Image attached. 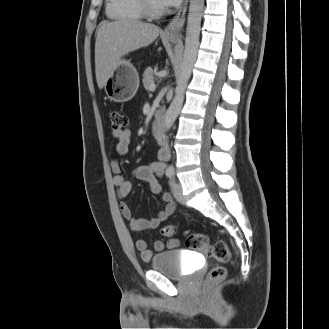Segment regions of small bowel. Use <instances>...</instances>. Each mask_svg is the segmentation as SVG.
I'll return each instance as SVG.
<instances>
[{
  "instance_id": "c3829d8e",
  "label": "small bowel",
  "mask_w": 329,
  "mask_h": 329,
  "mask_svg": "<svg viewBox=\"0 0 329 329\" xmlns=\"http://www.w3.org/2000/svg\"><path fill=\"white\" fill-rule=\"evenodd\" d=\"M116 142L115 148L119 155H124L128 152L131 144V133L129 130H124L120 135H112ZM165 164L161 161H155L146 165H138L132 170V176L138 180L145 181L149 184L150 190L154 194H161V198L165 203V207L155 217L151 219H137L133 216L130 207L123 201L130 195L132 182L129 178L124 177L121 172L122 168L117 160L111 164L112 172L114 173V185L116 187L117 197L121 201L119 205L122 216L128 221L129 227L133 232L141 233L145 230L157 228L165 219H167L176 209V203L173 197L166 192H163L159 178L163 175ZM179 240L170 239L167 241L157 240L154 243V250L162 252L165 249L178 248ZM136 250L140 253L143 260L148 261L153 257V252L148 249L147 243L143 239H138L135 243Z\"/></svg>"
}]
</instances>
